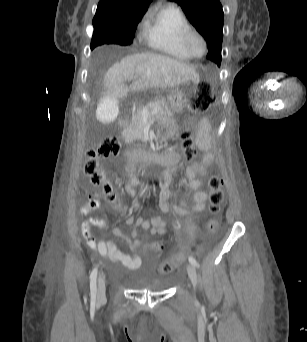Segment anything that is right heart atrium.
<instances>
[{
	"instance_id": "right-heart-atrium-1",
	"label": "right heart atrium",
	"mask_w": 307,
	"mask_h": 342,
	"mask_svg": "<svg viewBox=\"0 0 307 342\" xmlns=\"http://www.w3.org/2000/svg\"><path fill=\"white\" fill-rule=\"evenodd\" d=\"M134 32H135V36L149 34V32L147 31V29L143 23H138L135 26Z\"/></svg>"
}]
</instances>
